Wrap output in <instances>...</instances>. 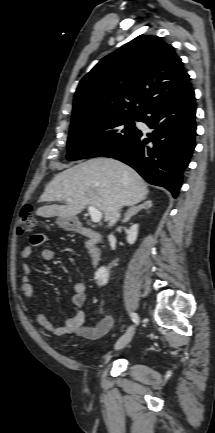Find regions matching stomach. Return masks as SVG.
I'll list each match as a JSON object with an SVG mask.
<instances>
[{"instance_id": "stomach-1", "label": "stomach", "mask_w": 215, "mask_h": 433, "mask_svg": "<svg viewBox=\"0 0 215 433\" xmlns=\"http://www.w3.org/2000/svg\"><path fill=\"white\" fill-rule=\"evenodd\" d=\"M74 221H75V220H74L73 218L69 219V218H61V217H59V218L56 220V223H57V225H58L59 227L65 229V230L70 231V230H73L74 227H75V225H74Z\"/></svg>"}]
</instances>
